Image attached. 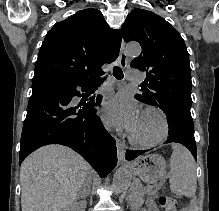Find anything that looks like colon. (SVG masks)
<instances>
[{
  "label": "colon",
  "instance_id": "1",
  "mask_svg": "<svg viewBox=\"0 0 219 211\" xmlns=\"http://www.w3.org/2000/svg\"><path fill=\"white\" fill-rule=\"evenodd\" d=\"M162 211H177V202L168 196H160L158 199Z\"/></svg>",
  "mask_w": 219,
  "mask_h": 211
}]
</instances>
